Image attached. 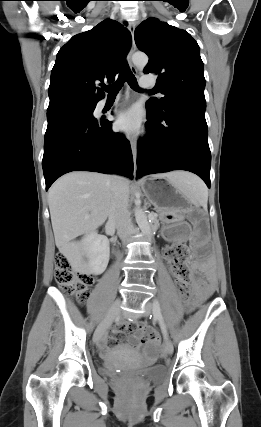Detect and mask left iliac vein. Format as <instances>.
I'll return each instance as SVG.
<instances>
[{
	"label": "left iliac vein",
	"mask_w": 261,
	"mask_h": 427,
	"mask_svg": "<svg viewBox=\"0 0 261 427\" xmlns=\"http://www.w3.org/2000/svg\"><path fill=\"white\" fill-rule=\"evenodd\" d=\"M152 311H153L152 303L150 301L146 302L144 305L145 316L148 317L152 313ZM164 349H165V353L168 355H171L173 353L172 342L167 337L165 338Z\"/></svg>",
	"instance_id": "4c4485c4"
}]
</instances>
